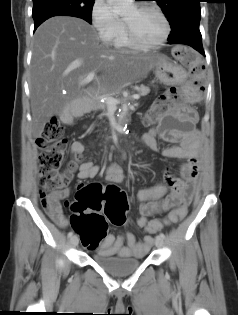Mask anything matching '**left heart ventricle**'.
<instances>
[{
	"label": "left heart ventricle",
	"mask_w": 238,
	"mask_h": 315,
	"mask_svg": "<svg viewBox=\"0 0 238 315\" xmlns=\"http://www.w3.org/2000/svg\"><path fill=\"white\" fill-rule=\"evenodd\" d=\"M124 19L130 23L136 38L143 43H155L164 34V24L153 11H137L135 6H132L125 14Z\"/></svg>",
	"instance_id": "obj_1"
}]
</instances>
